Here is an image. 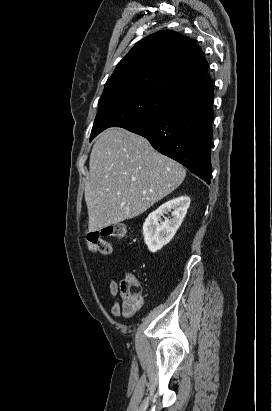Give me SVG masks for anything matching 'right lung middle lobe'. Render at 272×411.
I'll return each instance as SVG.
<instances>
[{"label":"right lung middle lobe","instance_id":"right-lung-middle-lobe-1","mask_svg":"<svg viewBox=\"0 0 272 411\" xmlns=\"http://www.w3.org/2000/svg\"><path fill=\"white\" fill-rule=\"evenodd\" d=\"M179 104L160 93L147 89H128L103 93L90 140L108 127L128 128L158 115Z\"/></svg>","mask_w":272,"mask_h":411}]
</instances>
